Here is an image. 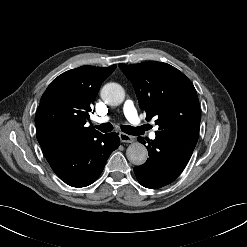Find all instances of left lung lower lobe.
Segmentation results:
<instances>
[{"instance_id":"obj_1","label":"left lung lower lobe","mask_w":247,"mask_h":247,"mask_svg":"<svg viewBox=\"0 0 247 247\" xmlns=\"http://www.w3.org/2000/svg\"><path fill=\"white\" fill-rule=\"evenodd\" d=\"M145 144L142 137L137 138ZM197 142L186 137L157 136L147 140L149 159L134 168L138 182L150 189H157L173 182L189 161Z\"/></svg>"}]
</instances>
